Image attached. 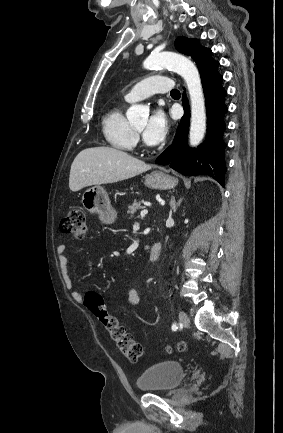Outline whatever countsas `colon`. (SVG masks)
Segmentation results:
<instances>
[{
	"label": "colon",
	"instance_id": "colon-1",
	"mask_svg": "<svg viewBox=\"0 0 283 433\" xmlns=\"http://www.w3.org/2000/svg\"><path fill=\"white\" fill-rule=\"evenodd\" d=\"M62 232L70 234L76 240H83L87 236V223L84 210L75 206L69 210L68 215L60 223ZM84 305L99 320L102 326L109 332L112 341L120 353L131 362H136L143 354L141 344L136 342L133 336L121 326L117 319L106 311L103 298L95 291H89L84 297ZM180 351L186 350V344H178ZM170 351V348L167 349Z\"/></svg>",
	"mask_w": 283,
	"mask_h": 433
}]
</instances>
